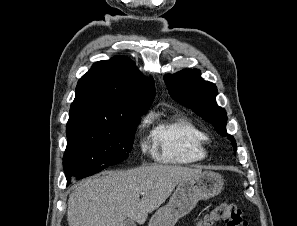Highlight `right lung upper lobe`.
Masks as SVG:
<instances>
[{
  "label": "right lung upper lobe",
  "instance_id": "right-lung-upper-lobe-1",
  "mask_svg": "<svg viewBox=\"0 0 297 226\" xmlns=\"http://www.w3.org/2000/svg\"><path fill=\"white\" fill-rule=\"evenodd\" d=\"M154 82L146 80L127 57L93 64L78 81L69 121L117 123L129 107H149Z\"/></svg>",
  "mask_w": 297,
  "mask_h": 226
}]
</instances>
